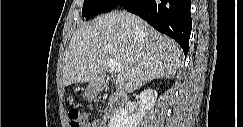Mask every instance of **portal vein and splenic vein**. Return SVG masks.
Returning <instances> with one entry per match:
<instances>
[{
  "label": "portal vein and splenic vein",
  "instance_id": "18ae733b",
  "mask_svg": "<svg viewBox=\"0 0 243 127\" xmlns=\"http://www.w3.org/2000/svg\"><path fill=\"white\" fill-rule=\"evenodd\" d=\"M106 63L111 71L113 72H120L121 70V64L117 61H114L113 59H107Z\"/></svg>",
  "mask_w": 243,
  "mask_h": 127
}]
</instances>
